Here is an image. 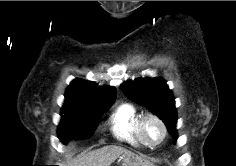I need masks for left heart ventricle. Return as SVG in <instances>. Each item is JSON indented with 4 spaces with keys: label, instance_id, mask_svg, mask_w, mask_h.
<instances>
[{
    "label": "left heart ventricle",
    "instance_id": "left-heart-ventricle-1",
    "mask_svg": "<svg viewBox=\"0 0 236 166\" xmlns=\"http://www.w3.org/2000/svg\"><path fill=\"white\" fill-rule=\"evenodd\" d=\"M145 134L149 141L157 142L162 136L160 125L154 120H148L145 125Z\"/></svg>",
    "mask_w": 236,
    "mask_h": 166
}]
</instances>
